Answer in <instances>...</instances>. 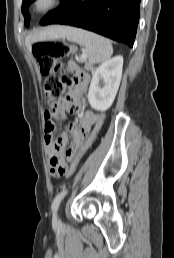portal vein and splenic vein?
<instances>
[{
	"label": "portal vein and splenic vein",
	"mask_w": 174,
	"mask_h": 258,
	"mask_svg": "<svg viewBox=\"0 0 174 258\" xmlns=\"http://www.w3.org/2000/svg\"><path fill=\"white\" fill-rule=\"evenodd\" d=\"M81 57H82V58H86V54H85V53H82Z\"/></svg>",
	"instance_id": "18ae733b"
}]
</instances>
